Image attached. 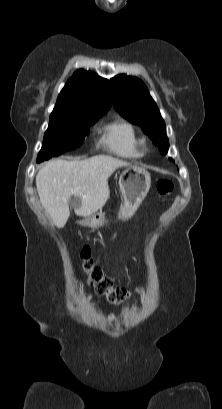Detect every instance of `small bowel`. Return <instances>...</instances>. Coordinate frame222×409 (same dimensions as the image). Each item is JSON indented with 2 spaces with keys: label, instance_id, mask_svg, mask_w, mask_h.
<instances>
[{
  "label": "small bowel",
  "instance_id": "obj_1",
  "mask_svg": "<svg viewBox=\"0 0 222 409\" xmlns=\"http://www.w3.org/2000/svg\"><path fill=\"white\" fill-rule=\"evenodd\" d=\"M104 322L106 323H117L118 322V318L113 315V314H109L107 315V317L105 318Z\"/></svg>",
  "mask_w": 222,
  "mask_h": 409
}]
</instances>
